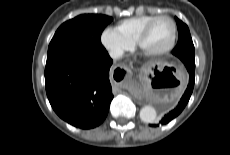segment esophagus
<instances>
[{"label": "esophagus", "mask_w": 230, "mask_h": 155, "mask_svg": "<svg viewBox=\"0 0 230 155\" xmlns=\"http://www.w3.org/2000/svg\"><path fill=\"white\" fill-rule=\"evenodd\" d=\"M123 69L125 70H121V71H123L124 73L126 72V74H128L129 73V70L126 68V67H123Z\"/></svg>", "instance_id": "obj_1"}]
</instances>
